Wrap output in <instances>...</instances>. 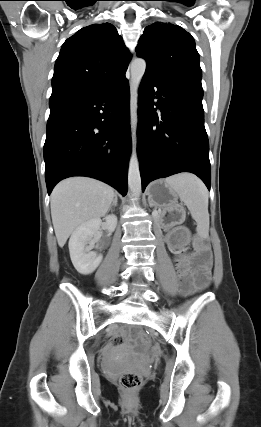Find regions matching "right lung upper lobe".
I'll use <instances>...</instances> for the list:
<instances>
[{
	"instance_id": "obj_1",
	"label": "right lung upper lobe",
	"mask_w": 261,
	"mask_h": 427,
	"mask_svg": "<svg viewBox=\"0 0 261 427\" xmlns=\"http://www.w3.org/2000/svg\"><path fill=\"white\" fill-rule=\"evenodd\" d=\"M128 49L110 23L77 31L62 45L55 62L50 108L102 91L123 78Z\"/></svg>"
}]
</instances>
